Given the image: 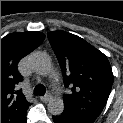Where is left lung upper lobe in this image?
<instances>
[{
  "mask_svg": "<svg viewBox=\"0 0 123 123\" xmlns=\"http://www.w3.org/2000/svg\"><path fill=\"white\" fill-rule=\"evenodd\" d=\"M58 58L64 84V111L84 123H92L104 108L113 84L107 57L84 39L65 31L47 34Z\"/></svg>",
  "mask_w": 123,
  "mask_h": 123,
  "instance_id": "obj_1",
  "label": "left lung upper lobe"
}]
</instances>
